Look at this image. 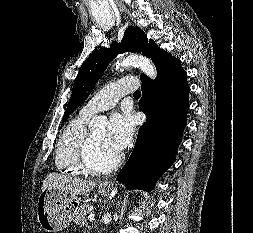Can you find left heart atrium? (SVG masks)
Returning a JSON list of instances; mask_svg holds the SVG:
<instances>
[{
    "label": "left heart atrium",
    "instance_id": "39dd6f15",
    "mask_svg": "<svg viewBox=\"0 0 253 233\" xmlns=\"http://www.w3.org/2000/svg\"><path fill=\"white\" fill-rule=\"evenodd\" d=\"M133 129V122L129 115L114 114L105 131L104 143L108 148L119 153L129 144Z\"/></svg>",
    "mask_w": 253,
    "mask_h": 233
}]
</instances>
